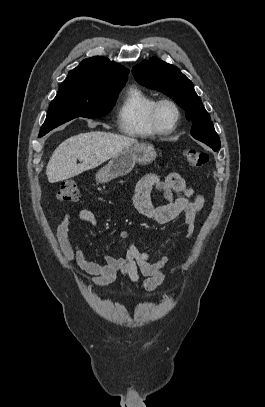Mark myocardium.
I'll return each mask as SVG.
<instances>
[{"label":"myocardium","mask_w":265,"mask_h":407,"mask_svg":"<svg viewBox=\"0 0 265 407\" xmlns=\"http://www.w3.org/2000/svg\"><path fill=\"white\" fill-rule=\"evenodd\" d=\"M170 106L175 112V120L170 127H164L160 121V111L163 106ZM181 119V110L179 105L172 99L163 98L157 100L150 111V121L152 127L158 134L167 135L171 134L178 126Z\"/></svg>","instance_id":"1"}]
</instances>
